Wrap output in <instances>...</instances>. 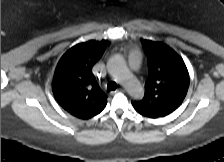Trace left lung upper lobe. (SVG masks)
<instances>
[{
  "instance_id": "1",
  "label": "left lung upper lobe",
  "mask_w": 224,
  "mask_h": 162,
  "mask_svg": "<svg viewBox=\"0 0 224 162\" xmlns=\"http://www.w3.org/2000/svg\"><path fill=\"white\" fill-rule=\"evenodd\" d=\"M147 50L149 76L142 100L132 102L140 114L163 117L177 109L189 87V74L182 58L166 44L143 40Z\"/></svg>"
}]
</instances>
